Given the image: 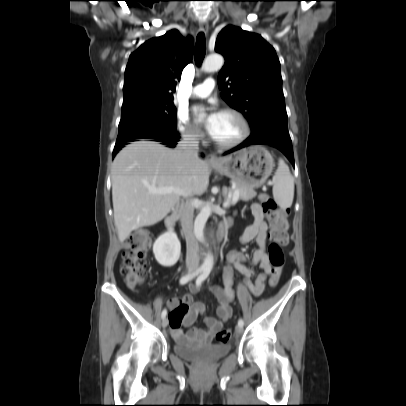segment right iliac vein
<instances>
[{"label": "right iliac vein", "mask_w": 406, "mask_h": 406, "mask_svg": "<svg viewBox=\"0 0 406 406\" xmlns=\"http://www.w3.org/2000/svg\"><path fill=\"white\" fill-rule=\"evenodd\" d=\"M167 325H168V319L164 318L162 321V327L165 328V327H167Z\"/></svg>", "instance_id": "1"}]
</instances>
